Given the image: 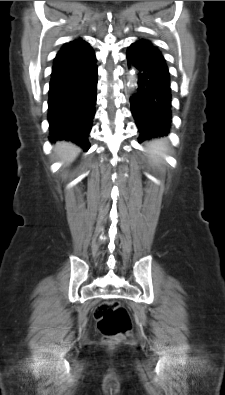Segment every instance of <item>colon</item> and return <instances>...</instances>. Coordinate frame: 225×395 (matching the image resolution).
I'll return each mask as SVG.
<instances>
[{
  "instance_id": "obj_1",
  "label": "colon",
  "mask_w": 225,
  "mask_h": 395,
  "mask_svg": "<svg viewBox=\"0 0 225 395\" xmlns=\"http://www.w3.org/2000/svg\"><path fill=\"white\" fill-rule=\"evenodd\" d=\"M94 316L105 343L113 344L131 337V316L120 303L105 302L96 308Z\"/></svg>"
}]
</instances>
